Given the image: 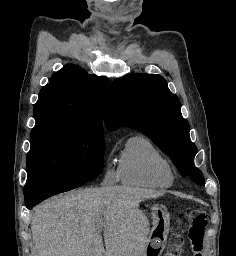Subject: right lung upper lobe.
I'll list each match as a JSON object with an SVG mask.
<instances>
[{
  "instance_id": "obj_1",
  "label": "right lung upper lobe",
  "mask_w": 236,
  "mask_h": 256,
  "mask_svg": "<svg viewBox=\"0 0 236 256\" xmlns=\"http://www.w3.org/2000/svg\"><path fill=\"white\" fill-rule=\"evenodd\" d=\"M108 79L67 65L50 78L34 105L35 126L73 125L102 132L101 111Z\"/></svg>"
}]
</instances>
